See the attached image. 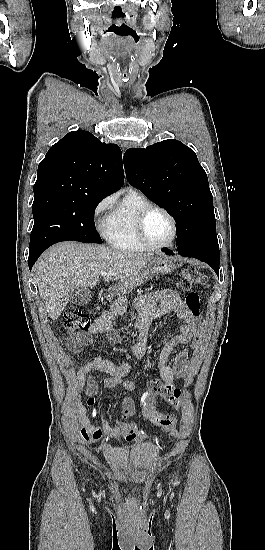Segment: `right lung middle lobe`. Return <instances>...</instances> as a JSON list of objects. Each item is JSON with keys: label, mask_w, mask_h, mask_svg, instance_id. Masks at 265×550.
I'll list each match as a JSON object with an SVG mask.
<instances>
[{"label": "right lung middle lobe", "mask_w": 265, "mask_h": 550, "mask_svg": "<svg viewBox=\"0 0 265 550\" xmlns=\"http://www.w3.org/2000/svg\"><path fill=\"white\" fill-rule=\"evenodd\" d=\"M102 196L64 197L53 194L34 196V226L29 254L67 240L102 243L94 224V211Z\"/></svg>", "instance_id": "right-lung-middle-lobe-1"}]
</instances>
